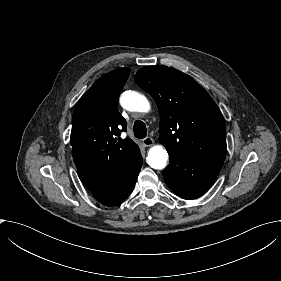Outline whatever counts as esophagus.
<instances>
[{"label": "esophagus", "instance_id": "1", "mask_svg": "<svg viewBox=\"0 0 281 281\" xmlns=\"http://www.w3.org/2000/svg\"><path fill=\"white\" fill-rule=\"evenodd\" d=\"M142 143H143L144 146L149 147V146H152L154 144V140L151 137H145L142 140Z\"/></svg>", "mask_w": 281, "mask_h": 281}]
</instances>
